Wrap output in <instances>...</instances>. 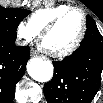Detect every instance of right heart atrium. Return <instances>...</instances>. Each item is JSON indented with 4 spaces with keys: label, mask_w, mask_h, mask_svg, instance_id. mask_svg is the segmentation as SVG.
I'll list each match as a JSON object with an SVG mask.
<instances>
[{
    "label": "right heart atrium",
    "mask_w": 103,
    "mask_h": 103,
    "mask_svg": "<svg viewBox=\"0 0 103 103\" xmlns=\"http://www.w3.org/2000/svg\"><path fill=\"white\" fill-rule=\"evenodd\" d=\"M17 36L23 43L31 42L38 34L27 23L17 25Z\"/></svg>",
    "instance_id": "1"
}]
</instances>
